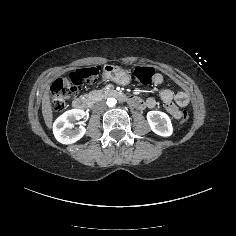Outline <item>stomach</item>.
Instances as JSON below:
<instances>
[{"label":"stomach","instance_id":"stomach-1","mask_svg":"<svg viewBox=\"0 0 236 236\" xmlns=\"http://www.w3.org/2000/svg\"><path fill=\"white\" fill-rule=\"evenodd\" d=\"M104 76L121 86H128L132 79L130 71L114 65L104 66Z\"/></svg>","mask_w":236,"mask_h":236}]
</instances>
